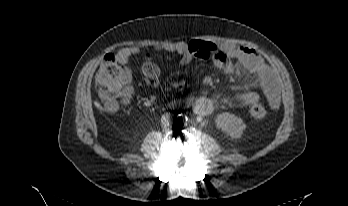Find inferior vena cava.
Returning <instances> with one entry per match:
<instances>
[{"label":"inferior vena cava","instance_id":"obj_1","mask_svg":"<svg viewBox=\"0 0 348 206\" xmlns=\"http://www.w3.org/2000/svg\"><path fill=\"white\" fill-rule=\"evenodd\" d=\"M171 120H172V118H171L170 113H165V114L162 116V118H161V121H162V123H164V124H169V123H171Z\"/></svg>","mask_w":348,"mask_h":206}]
</instances>
